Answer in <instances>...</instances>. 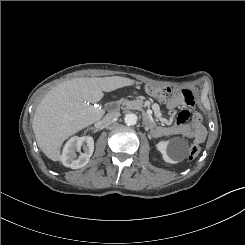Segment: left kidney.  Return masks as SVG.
<instances>
[{
    "instance_id": "left-kidney-1",
    "label": "left kidney",
    "mask_w": 245,
    "mask_h": 245,
    "mask_svg": "<svg viewBox=\"0 0 245 245\" xmlns=\"http://www.w3.org/2000/svg\"><path fill=\"white\" fill-rule=\"evenodd\" d=\"M169 141H160L157 143L156 147L158 151L162 154L163 160L169 164L178 163L179 159L183 156V151L179 146L174 147L169 152Z\"/></svg>"
}]
</instances>
